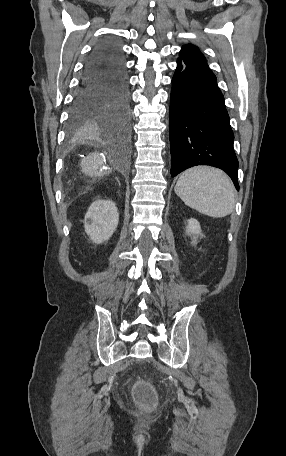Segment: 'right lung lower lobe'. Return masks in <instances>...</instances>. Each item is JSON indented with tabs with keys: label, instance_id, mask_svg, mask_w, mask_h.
Listing matches in <instances>:
<instances>
[{
	"label": "right lung lower lobe",
	"instance_id": "obj_1",
	"mask_svg": "<svg viewBox=\"0 0 286 456\" xmlns=\"http://www.w3.org/2000/svg\"><path fill=\"white\" fill-rule=\"evenodd\" d=\"M131 111L126 73L119 56L109 58L102 46L88 58L80 86L75 94L68 131L82 133L95 126L126 138L130 130ZM118 125H125L123 134Z\"/></svg>",
	"mask_w": 286,
	"mask_h": 456
}]
</instances>
